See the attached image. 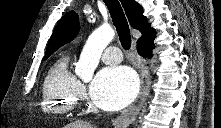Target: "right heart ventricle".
<instances>
[{"label": "right heart ventricle", "mask_w": 221, "mask_h": 128, "mask_svg": "<svg viewBox=\"0 0 221 128\" xmlns=\"http://www.w3.org/2000/svg\"><path fill=\"white\" fill-rule=\"evenodd\" d=\"M79 80L70 65L67 54L56 58L50 65L42 87V112L48 116H65L72 112L78 101Z\"/></svg>", "instance_id": "obj_1"}]
</instances>
